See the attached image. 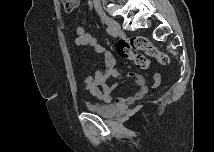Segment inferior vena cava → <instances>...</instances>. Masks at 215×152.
I'll return each mask as SVG.
<instances>
[{"mask_svg":"<svg viewBox=\"0 0 215 152\" xmlns=\"http://www.w3.org/2000/svg\"><path fill=\"white\" fill-rule=\"evenodd\" d=\"M96 2H97V3H99V2H100V0H96Z\"/></svg>","mask_w":215,"mask_h":152,"instance_id":"1","label":"inferior vena cava"}]
</instances>
